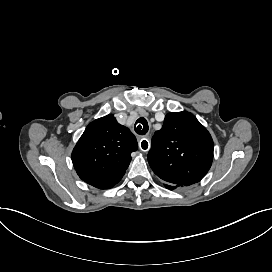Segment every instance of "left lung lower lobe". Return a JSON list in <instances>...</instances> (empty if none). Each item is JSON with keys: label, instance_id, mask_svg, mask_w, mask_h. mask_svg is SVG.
<instances>
[{"label": "left lung lower lobe", "instance_id": "0a47b994", "mask_svg": "<svg viewBox=\"0 0 272 272\" xmlns=\"http://www.w3.org/2000/svg\"><path fill=\"white\" fill-rule=\"evenodd\" d=\"M164 186H165L166 188L170 189V190H174V189L178 188V187L175 186V185H171V184H167V183H165Z\"/></svg>", "mask_w": 272, "mask_h": 272}]
</instances>
